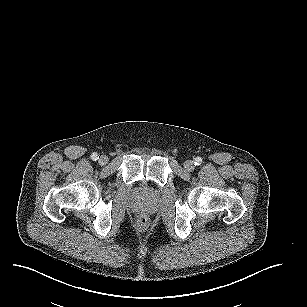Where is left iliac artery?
I'll return each instance as SVG.
<instances>
[{"instance_id":"1","label":"left iliac artery","mask_w":307,"mask_h":307,"mask_svg":"<svg viewBox=\"0 0 307 307\" xmlns=\"http://www.w3.org/2000/svg\"><path fill=\"white\" fill-rule=\"evenodd\" d=\"M194 163H195V165H200L202 163V158L201 157H196Z\"/></svg>"}]
</instances>
